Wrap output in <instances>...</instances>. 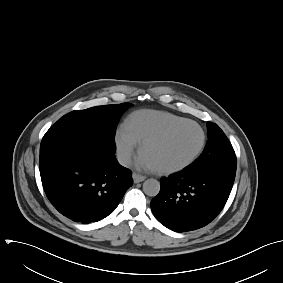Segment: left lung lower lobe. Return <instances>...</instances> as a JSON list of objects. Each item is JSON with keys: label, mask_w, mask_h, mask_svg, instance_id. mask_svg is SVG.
Returning a JSON list of instances; mask_svg holds the SVG:
<instances>
[{"label": "left lung lower lobe", "mask_w": 283, "mask_h": 283, "mask_svg": "<svg viewBox=\"0 0 283 283\" xmlns=\"http://www.w3.org/2000/svg\"><path fill=\"white\" fill-rule=\"evenodd\" d=\"M234 179L231 173L184 169L161 179V190L151 201L152 212L175 232L202 228L224 207Z\"/></svg>", "instance_id": "1"}]
</instances>
